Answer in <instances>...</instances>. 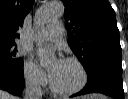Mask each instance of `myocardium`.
I'll return each mask as SVG.
<instances>
[{"instance_id":"obj_1","label":"myocardium","mask_w":128,"mask_h":99,"mask_svg":"<svg viewBox=\"0 0 128 99\" xmlns=\"http://www.w3.org/2000/svg\"><path fill=\"white\" fill-rule=\"evenodd\" d=\"M62 61H67V62H71L74 63L78 66V68L80 69L81 72V82L74 88L69 89V90H61L59 88H57L54 83L52 82V80L50 79V88L52 90L53 93L59 95V96H71L74 95L78 92H80L87 84L88 82V74H87V70L85 68V66L83 65V63L74 57H65Z\"/></svg>"}]
</instances>
